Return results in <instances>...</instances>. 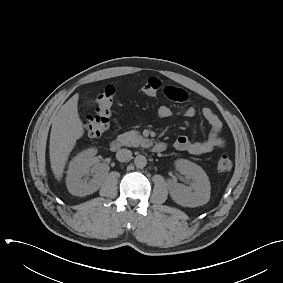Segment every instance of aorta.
Listing matches in <instances>:
<instances>
[{
  "label": "aorta",
  "instance_id": "obj_1",
  "mask_svg": "<svg viewBox=\"0 0 283 283\" xmlns=\"http://www.w3.org/2000/svg\"><path fill=\"white\" fill-rule=\"evenodd\" d=\"M134 164L137 168H144L147 165V159L144 155H137Z\"/></svg>",
  "mask_w": 283,
  "mask_h": 283
}]
</instances>
